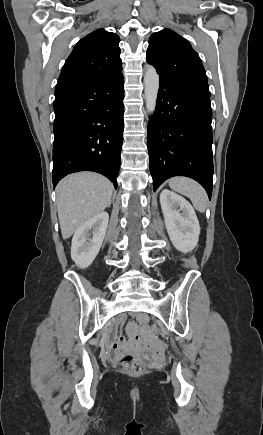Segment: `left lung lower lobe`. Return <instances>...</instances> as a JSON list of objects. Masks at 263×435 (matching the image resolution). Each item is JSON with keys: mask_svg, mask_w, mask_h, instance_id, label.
<instances>
[{"mask_svg": "<svg viewBox=\"0 0 263 435\" xmlns=\"http://www.w3.org/2000/svg\"><path fill=\"white\" fill-rule=\"evenodd\" d=\"M212 109L209 90L160 77L147 145L153 189L168 178L187 176L212 194Z\"/></svg>", "mask_w": 263, "mask_h": 435, "instance_id": "0a47b994", "label": "left lung lower lobe"}]
</instances>
